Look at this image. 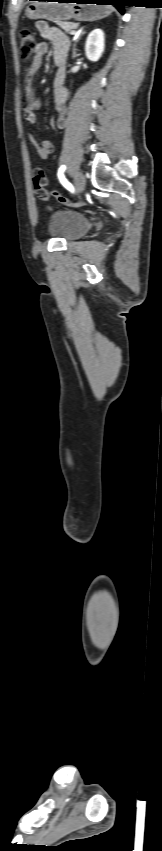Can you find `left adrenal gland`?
Wrapping results in <instances>:
<instances>
[{
  "instance_id": "a2214340",
  "label": "left adrenal gland",
  "mask_w": 162,
  "mask_h": 851,
  "mask_svg": "<svg viewBox=\"0 0 162 851\" xmlns=\"http://www.w3.org/2000/svg\"><path fill=\"white\" fill-rule=\"evenodd\" d=\"M85 33H86L85 31H81V33L79 34V36H78V38H77L76 42H75V43H74V45H73V55H72V57H73V58L77 57L76 44H77V42L80 40V38L82 37V35H84Z\"/></svg>"
}]
</instances>
